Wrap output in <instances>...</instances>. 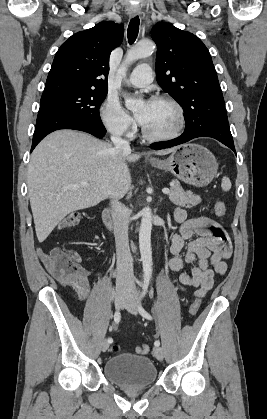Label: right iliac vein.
I'll return each mask as SVG.
<instances>
[{"instance_id":"right-iliac-vein-1","label":"right iliac vein","mask_w":267,"mask_h":419,"mask_svg":"<svg viewBox=\"0 0 267 419\" xmlns=\"http://www.w3.org/2000/svg\"><path fill=\"white\" fill-rule=\"evenodd\" d=\"M126 297H127V292L126 291L117 292L116 297H115V306H116L117 309H119L123 306ZM108 347H109L108 341L104 340L101 344L102 351L105 352L108 349Z\"/></svg>"}]
</instances>
